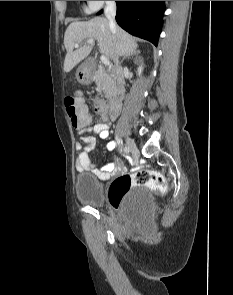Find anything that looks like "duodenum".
I'll use <instances>...</instances> for the list:
<instances>
[{
    "instance_id": "duodenum-1",
    "label": "duodenum",
    "mask_w": 233,
    "mask_h": 295,
    "mask_svg": "<svg viewBox=\"0 0 233 295\" xmlns=\"http://www.w3.org/2000/svg\"><path fill=\"white\" fill-rule=\"evenodd\" d=\"M110 74L115 78V79H119L120 75H121V71L118 68H113L110 71ZM123 90L122 88L117 85L112 93H111V101H110V112L112 116H115L121 107V103H122V99H123Z\"/></svg>"
}]
</instances>
